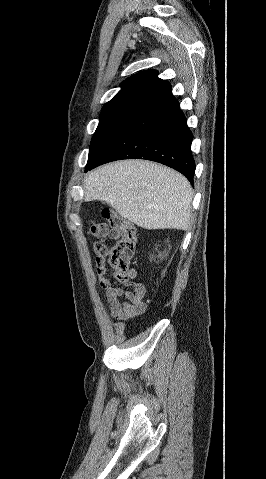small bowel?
Returning a JSON list of instances; mask_svg holds the SVG:
<instances>
[{
  "mask_svg": "<svg viewBox=\"0 0 266 479\" xmlns=\"http://www.w3.org/2000/svg\"><path fill=\"white\" fill-rule=\"evenodd\" d=\"M108 236L115 238L116 234L111 232ZM96 261L99 281L106 291L111 316L118 321H127L142 314L146 309L145 286L139 282L134 283L132 290L114 286L105 273L104 257H96Z\"/></svg>",
  "mask_w": 266,
  "mask_h": 479,
  "instance_id": "obj_1",
  "label": "small bowel"
}]
</instances>
